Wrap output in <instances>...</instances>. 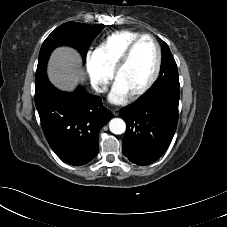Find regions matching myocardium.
Segmentation results:
<instances>
[{"label":"myocardium","mask_w":227,"mask_h":227,"mask_svg":"<svg viewBox=\"0 0 227 227\" xmlns=\"http://www.w3.org/2000/svg\"><path fill=\"white\" fill-rule=\"evenodd\" d=\"M145 38L150 39L154 43V45L156 47L157 63H156V67H155L154 73L151 76V78L148 80V82L144 86H142L140 89H138V90H136V91H134V92H132V93H130L128 95V97L131 98V99H136V98L142 96L143 94H145L147 91L150 90V88L155 84V82L159 78V75H160V72H161V68H162L163 56H162L161 46H160L159 42L157 41V39L154 36L150 35V34H141L140 36L135 38L128 45V47L126 48V50L122 54L121 58L119 59V61L115 65V67L113 69V72H112L113 79L116 82L119 74L126 67L128 62L130 61V58H131L136 46Z\"/></svg>","instance_id":"1"}]
</instances>
